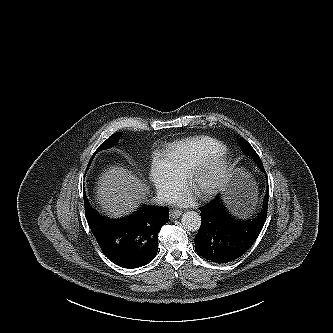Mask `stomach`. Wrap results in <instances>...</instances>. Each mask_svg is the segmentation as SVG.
Instances as JSON below:
<instances>
[{
	"label": "stomach",
	"mask_w": 333,
	"mask_h": 333,
	"mask_svg": "<svg viewBox=\"0 0 333 333\" xmlns=\"http://www.w3.org/2000/svg\"><path fill=\"white\" fill-rule=\"evenodd\" d=\"M261 197L259 185L243 169L233 170L225 191L226 210L235 221L245 222L256 213Z\"/></svg>",
	"instance_id": "obj_1"
}]
</instances>
